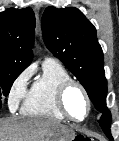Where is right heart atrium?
I'll return each instance as SVG.
<instances>
[{"mask_svg": "<svg viewBox=\"0 0 119 141\" xmlns=\"http://www.w3.org/2000/svg\"><path fill=\"white\" fill-rule=\"evenodd\" d=\"M32 72V68L29 67L20 73L13 81L8 94V104L11 110H16L24 100Z\"/></svg>", "mask_w": 119, "mask_h": 141, "instance_id": "d8ad5b80", "label": "right heart atrium"}]
</instances>
